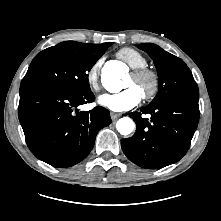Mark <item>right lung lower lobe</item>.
Masks as SVG:
<instances>
[{
	"mask_svg": "<svg viewBox=\"0 0 221 221\" xmlns=\"http://www.w3.org/2000/svg\"><path fill=\"white\" fill-rule=\"evenodd\" d=\"M95 99L91 90L73 92L56 85L20 86L18 117L26 143L38 159L54 167H70L92 150L99 130L112 121L107 109L77 107Z\"/></svg>",
	"mask_w": 221,
	"mask_h": 221,
	"instance_id": "1",
	"label": "right lung lower lobe"
}]
</instances>
